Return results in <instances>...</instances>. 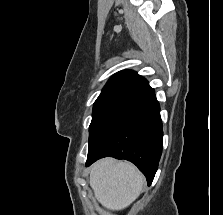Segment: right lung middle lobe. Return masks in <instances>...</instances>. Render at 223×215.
I'll list each match as a JSON object with an SVG mask.
<instances>
[{"instance_id": "dd1d6c3e", "label": "right lung middle lobe", "mask_w": 223, "mask_h": 215, "mask_svg": "<svg viewBox=\"0 0 223 215\" xmlns=\"http://www.w3.org/2000/svg\"><path fill=\"white\" fill-rule=\"evenodd\" d=\"M145 98L129 92L100 95L93 106L88 153H91L116 124Z\"/></svg>"}]
</instances>
